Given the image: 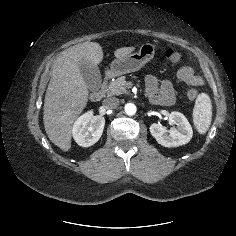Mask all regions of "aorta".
Returning a JSON list of instances; mask_svg holds the SVG:
<instances>
[{
	"label": "aorta",
	"mask_w": 236,
	"mask_h": 236,
	"mask_svg": "<svg viewBox=\"0 0 236 236\" xmlns=\"http://www.w3.org/2000/svg\"><path fill=\"white\" fill-rule=\"evenodd\" d=\"M124 109L127 115H134L137 111L136 106L133 103H127Z\"/></svg>",
	"instance_id": "1"
}]
</instances>
